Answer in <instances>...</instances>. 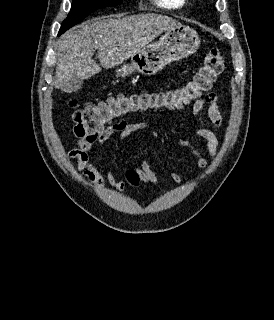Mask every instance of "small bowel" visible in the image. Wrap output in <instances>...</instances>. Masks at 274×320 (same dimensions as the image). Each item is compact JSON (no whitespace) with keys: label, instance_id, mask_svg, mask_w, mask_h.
Returning a JSON list of instances; mask_svg holds the SVG:
<instances>
[{"label":"small bowel","instance_id":"1","mask_svg":"<svg viewBox=\"0 0 274 320\" xmlns=\"http://www.w3.org/2000/svg\"><path fill=\"white\" fill-rule=\"evenodd\" d=\"M206 108L207 116L213 126L221 128L223 126V116L218 105V96L216 93H208L204 97L198 98L192 105L191 111L195 120H198L200 114ZM150 126L146 123H128L125 120L120 121L115 126L106 127L103 130L89 134L78 140L74 149L68 152L70 159L76 160V170L83 174V176L92 184L104 188L107 182L110 186L118 191L125 189V183L116 178L110 169L106 170L105 176L96 167L93 161V151L95 145L102 150L104 144L115 134H118V152L117 159L121 157L122 143L133 133L149 129ZM195 134L202 140L208 155L215 158L219 148V140L215 132L206 127L198 126L195 129ZM177 145L188 149L191 154L197 159V167L205 169L208 166V161L205 159L197 146L187 140H179ZM128 170H135L139 177L146 183L153 185L158 191L163 194H171L172 190L164 187L156 173L152 170L147 161H142L139 166L130 168ZM127 170V171H128ZM170 178L177 184L182 185L184 179L181 175L170 172Z\"/></svg>","mask_w":274,"mask_h":320}]
</instances>
